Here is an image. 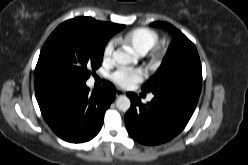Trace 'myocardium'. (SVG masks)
<instances>
[{"label": "myocardium", "mask_w": 248, "mask_h": 165, "mask_svg": "<svg viewBox=\"0 0 248 165\" xmlns=\"http://www.w3.org/2000/svg\"><path fill=\"white\" fill-rule=\"evenodd\" d=\"M164 54H165V50L163 48L157 46L154 48V50L151 54V58L153 61L159 62L164 57Z\"/></svg>", "instance_id": "myocardium-1"}]
</instances>
